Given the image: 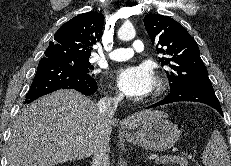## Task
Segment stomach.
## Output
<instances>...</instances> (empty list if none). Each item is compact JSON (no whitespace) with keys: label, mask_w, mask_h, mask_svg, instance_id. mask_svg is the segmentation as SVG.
<instances>
[{"label":"stomach","mask_w":231,"mask_h":166,"mask_svg":"<svg viewBox=\"0 0 231 166\" xmlns=\"http://www.w3.org/2000/svg\"><path fill=\"white\" fill-rule=\"evenodd\" d=\"M178 137V127L167 119L166 114H158L125 139L147 150L165 151L174 146Z\"/></svg>","instance_id":"stomach-1"}]
</instances>
